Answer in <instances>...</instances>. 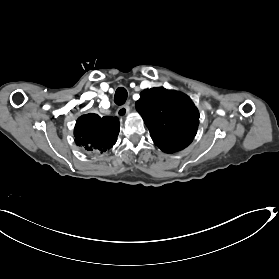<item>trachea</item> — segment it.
Masks as SVG:
<instances>
[{"instance_id": "trachea-1", "label": "trachea", "mask_w": 279, "mask_h": 279, "mask_svg": "<svg viewBox=\"0 0 279 279\" xmlns=\"http://www.w3.org/2000/svg\"><path fill=\"white\" fill-rule=\"evenodd\" d=\"M127 96H128L127 90L124 87H119L115 92L114 102L117 105H122L127 100Z\"/></svg>"}]
</instances>
